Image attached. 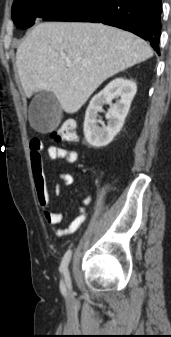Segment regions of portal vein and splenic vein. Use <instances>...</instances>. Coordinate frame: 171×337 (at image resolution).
Returning a JSON list of instances; mask_svg holds the SVG:
<instances>
[{
    "label": "portal vein and splenic vein",
    "instance_id": "obj_1",
    "mask_svg": "<svg viewBox=\"0 0 171 337\" xmlns=\"http://www.w3.org/2000/svg\"><path fill=\"white\" fill-rule=\"evenodd\" d=\"M67 67H73V63L69 60L66 61Z\"/></svg>",
    "mask_w": 171,
    "mask_h": 337
}]
</instances>
